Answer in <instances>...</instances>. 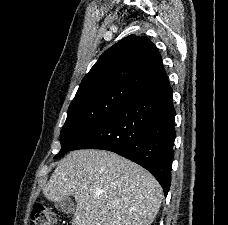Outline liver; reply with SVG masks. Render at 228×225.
<instances>
[{"label": "liver", "mask_w": 228, "mask_h": 225, "mask_svg": "<svg viewBox=\"0 0 228 225\" xmlns=\"http://www.w3.org/2000/svg\"><path fill=\"white\" fill-rule=\"evenodd\" d=\"M43 193L53 203L74 195L72 225H152L163 197L148 171L99 149L66 155Z\"/></svg>", "instance_id": "obj_1"}]
</instances>
